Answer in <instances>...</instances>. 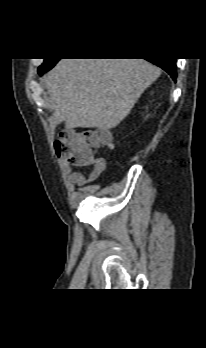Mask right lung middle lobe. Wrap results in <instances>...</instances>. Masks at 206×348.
<instances>
[{
	"mask_svg": "<svg viewBox=\"0 0 206 348\" xmlns=\"http://www.w3.org/2000/svg\"><path fill=\"white\" fill-rule=\"evenodd\" d=\"M57 60H59V59H45L43 64L38 68V72H40L46 68L54 66L57 63Z\"/></svg>",
	"mask_w": 206,
	"mask_h": 348,
	"instance_id": "dd1d6c3e",
	"label": "right lung middle lobe"
}]
</instances>
